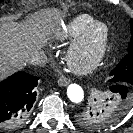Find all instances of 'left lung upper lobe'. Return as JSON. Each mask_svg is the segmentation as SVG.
<instances>
[{
    "label": "left lung upper lobe",
    "instance_id": "1",
    "mask_svg": "<svg viewBox=\"0 0 133 133\" xmlns=\"http://www.w3.org/2000/svg\"><path fill=\"white\" fill-rule=\"evenodd\" d=\"M131 41L128 54L120 61L116 68L110 73L114 77L110 82L115 84L133 85V19H130ZM126 107H117L113 102L106 99L98 107L86 108L77 114V122L88 129H102L116 120L124 113Z\"/></svg>",
    "mask_w": 133,
    "mask_h": 133
}]
</instances>
